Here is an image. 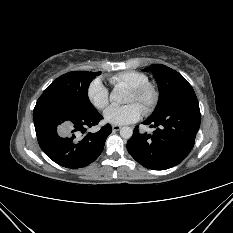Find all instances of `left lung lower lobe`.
<instances>
[{
    "label": "left lung lower lobe",
    "mask_w": 233,
    "mask_h": 233,
    "mask_svg": "<svg viewBox=\"0 0 233 233\" xmlns=\"http://www.w3.org/2000/svg\"><path fill=\"white\" fill-rule=\"evenodd\" d=\"M143 124L157 129L150 135L139 133L135 127L127 142L130 155L152 170L179 164L193 148L200 127L199 103L193 88H185L162 115L149 117Z\"/></svg>",
    "instance_id": "left-lung-lower-lobe-1"
}]
</instances>
